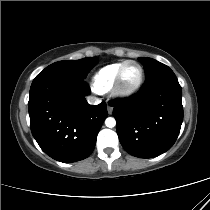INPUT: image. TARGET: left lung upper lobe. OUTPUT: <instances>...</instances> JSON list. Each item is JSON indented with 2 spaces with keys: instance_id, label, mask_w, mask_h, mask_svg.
Returning a JSON list of instances; mask_svg holds the SVG:
<instances>
[{
  "instance_id": "1",
  "label": "left lung upper lobe",
  "mask_w": 210,
  "mask_h": 210,
  "mask_svg": "<svg viewBox=\"0 0 210 210\" xmlns=\"http://www.w3.org/2000/svg\"><path fill=\"white\" fill-rule=\"evenodd\" d=\"M138 60L144 65L146 79L169 68L163 63L151 58H138Z\"/></svg>"
}]
</instances>
